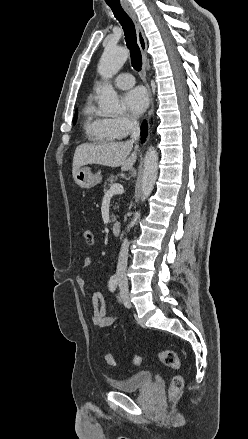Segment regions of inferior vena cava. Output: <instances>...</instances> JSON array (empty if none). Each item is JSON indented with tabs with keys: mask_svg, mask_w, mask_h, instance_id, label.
<instances>
[{
	"mask_svg": "<svg viewBox=\"0 0 248 439\" xmlns=\"http://www.w3.org/2000/svg\"><path fill=\"white\" fill-rule=\"evenodd\" d=\"M132 132L130 142H135L140 138V126L136 119L131 121ZM129 244L128 240L125 239L122 243L121 250L119 253L118 264H117V280L120 286H128V280L126 276L127 261H128Z\"/></svg>",
	"mask_w": 248,
	"mask_h": 439,
	"instance_id": "602c4592",
	"label": "inferior vena cava"
}]
</instances>
